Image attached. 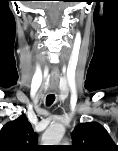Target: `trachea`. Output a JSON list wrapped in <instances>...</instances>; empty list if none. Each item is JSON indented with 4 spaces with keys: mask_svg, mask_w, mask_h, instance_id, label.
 <instances>
[{
    "mask_svg": "<svg viewBox=\"0 0 118 151\" xmlns=\"http://www.w3.org/2000/svg\"><path fill=\"white\" fill-rule=\"evenodd\" d=\"M55 101V95L54 94H49L46 97V105L50 106L53 104V102Z\"/></svg>",
    "mask_w": 118,
    "mask_h": 151,
    "instance_id": "obj_1",
    "label": "trachea"
}]
</instances>
